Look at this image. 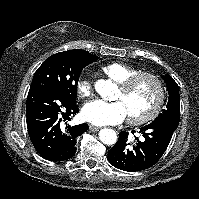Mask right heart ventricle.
<instances>
[{
    "label": "right heart ventricle",
    "instance_id": "obj_1",
    "mask_svg": "<svg viewBox=\"0 0 199 199\" xmlns=\"http://www.w3.org/2000/svg\"><path fill=\"white\" fill-rule=\"evenodd\" d=\"M102 71L117 83H122L129 77L141 72L135 66L123 62H111L102 67Z\"/></svg>",
    "mask_w": 199,
    "mask_h": 199
}]
</instances>
